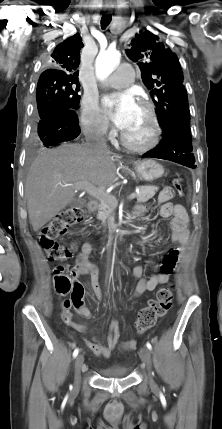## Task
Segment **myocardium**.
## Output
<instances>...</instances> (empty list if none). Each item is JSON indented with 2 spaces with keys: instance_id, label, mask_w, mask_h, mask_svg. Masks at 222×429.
I'll return each instance as SVG.
<instances>
[{
  "instance_id": "f54148a6",
  "label": "myocardium",
  "mask_w": 222,
  "mask_h": 429,
  "mask_svg": "<svg viewBox=\"0 0 222 429\" xmlns=\"http://www.w3.org/2000/svg\"><path fill=\"white\" fill-rule=\"evenodd\" d=\"M138 105L142 106L149 117L150 121V133L149 138L146 142L143 143H135L127 136V134L123 131L121 133V141L125 147L134 151V152H147L152 150L157 146L160 140L161 135V126L160 122L155 110L154 105L148 100H140Z\"/></svg>"
}]
</instances>
